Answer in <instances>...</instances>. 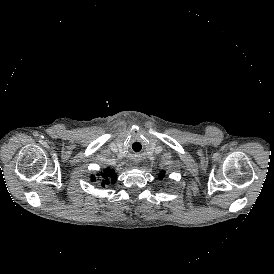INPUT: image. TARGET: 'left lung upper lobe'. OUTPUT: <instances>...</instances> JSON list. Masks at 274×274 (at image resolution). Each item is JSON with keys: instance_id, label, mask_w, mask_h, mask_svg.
<instances>
[{"instance_id": "5c2ea615", "label": "left lung upper lobe", "mask_w": 274, "mask_h": 274, "mask_svg": "<svg viewBox=\"0 0 274 274\" xmlns=\"http://www.w3.org/2000/svg\"><path fill=\"white\" fill-rule=\"evenodd\" d=\"M165 176V171H161L159 174V179L162 180Z\"/></svg>"}]
</instances>
